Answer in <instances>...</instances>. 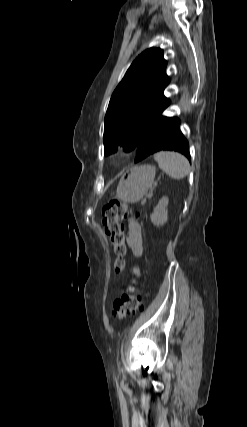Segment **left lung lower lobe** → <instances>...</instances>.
Masks as SVG:
<instances>
[{"mask_svg":"<svg viewBox=\"0 0 247 427\" xmlns=\"http://www.w3.org/2000/svg\"><path fill=\"white\" fill-rule=\"evenodd\" d=\"M180 120L162 114L149 126L138 144L135 162L142 161L162 150H174L185 155L189 161V144L180 131Z\"/></svg>","mask_w":247,"mask_h":427,"instance_id":"left-lung-lower-lobe-1","label":"left lung lower lobe"}]
</instances>
